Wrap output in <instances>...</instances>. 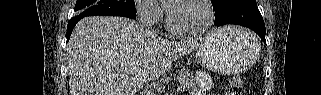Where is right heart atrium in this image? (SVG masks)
<instances>
[{"mask_svg":"<svg viewBox=\"0 0 321 95\" xmlns=\"http://www.w3.org/2000/svg\"><path fill=\"white\" fill-rule=\"evenodd\" d=\"M135 10L139 20L146 25H154L161 19L162 11L155 0H137Z\"/></svg>","mask_w":321,"mask_h":95,"instance_id":"right-heart-atrium-1","label":"right heart atrium"}]
</instances>
